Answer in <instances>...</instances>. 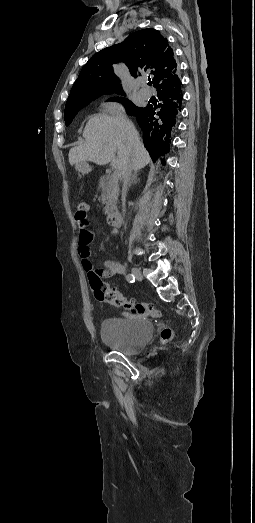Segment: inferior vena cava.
Listing matches in <instances>:
<instances>
[{
    "label": "inferior vena cava",
    "instance_id": "1",
    "mask_svg": "<svg viewBox=\"0 0 255 523\" xmlns=\"http://www.w3.org/2000/svg\"><path fill=\"white\" fill-rule=\"evenodd\" d=\"M132 176V168L131 166H126L124 172H122V178H123V186H122V210H123V216L125 212V198L127 194V188L128 184L131 180ZM123 220V218H122Z\"/></svg>",
    "mask_w": 255,
    "mask_h": 523
}]
</instances>
